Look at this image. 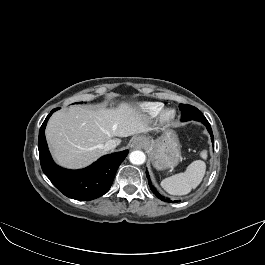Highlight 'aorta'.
Here are the masks:
<instances>
[{
	"label": "aorta",
	"mask_w": 265,
	"mask_h": 265,
	"mask_svg": "<svg viewBox=\"0 0 265 265\" xmlns=\"http://www.w3.org/2000/svg\"><path fill=\"white\" fill-rule=\"evenodd\" d=\"M129 160L132 164L141 165L146 161V156L142 151H133L129 155Z\"/></svg>",
	"instance_id": "obj_1"
}]
</instances>
